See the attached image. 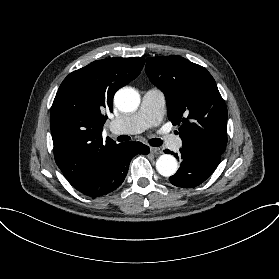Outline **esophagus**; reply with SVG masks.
Segmentation results:
<instances>
[{"label":"esophagus","mask_w":279,"mask_h":279,"mask_svg":"<svg viewBox=\"0 0 279 279\" xmlns=\"http://www.w3.org/2000/svg\"><path fill=\"white\" fill-rule=\"evenodd\" d=\"M150 152L152 154H159L160 153V148H157V147H150Z\"/></svg>","instance_id":"esophagus-1"}]
</instances>
